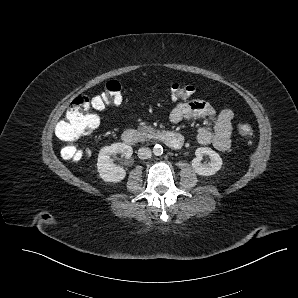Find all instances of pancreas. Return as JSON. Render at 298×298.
Wrapping results in <instances>:
<instances>
[{
	"instance_id": "obj_1",
	"label": "pancreas",
	"mask_w": 298,
	"mask_h": 298,
	"mask_svg": "<svg viewBox=\"0 0 298 298\" xmlns=\"http://www.w3.org/2000/svg\"><path fill=\"white\" fill-rule=\"evenodd\" d=\"M149 130L155 131V129L153 127L143 125L137 129V132L147 134Z\"/></svg>"
}]
</instances>
